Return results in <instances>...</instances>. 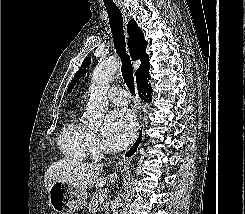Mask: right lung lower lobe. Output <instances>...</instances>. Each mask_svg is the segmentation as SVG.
I'll list each match as a JSON object with an SVG mask.
<instances>
[{
	"label": "right lung lower lobe",
	"mask_w": 245,
	"mask_h": 214,
	"mask_svg": "<svg viewBox=\"0 0 245 214\" xmlns=\"http://www.w3.org/2000/svg\"><path fill=\"white\" fill-rule=\"evenodd\" d=\"M149 80V72L145 73L139 80H137L139 96L141 97V99L148 103L151 102L152 97V88L150 86Z\"/></svg>",
	"instance_id": "98d812e1"
}]
</instances>
